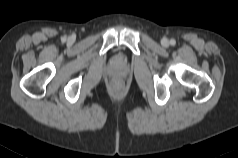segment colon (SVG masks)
<instances>
[{"label": "colon", "instance_id": "1", "mask_svg": "<svg viewBox=\"0 0 238 158\" xmlns=\"http://www.w3.org/2000/svg\"><path fill=\"white\" fill-rule=\"evenodd\" d=\"M121 89H122V86H121V84L119 82H115L113 84L112 90H113L114 93L121 92Z\"/></svg>", "mask_w": 238, "mask_h": 158}]
</instances>
